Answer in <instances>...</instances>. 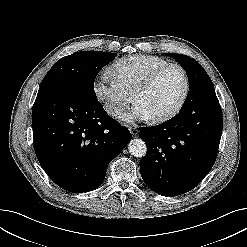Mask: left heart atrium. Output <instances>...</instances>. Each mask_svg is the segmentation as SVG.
<instances>
[{
  "instance_id": "1",
  "label": "left heart atrium",
  "mask_w": 247,
  "mask_h": 247,
  "mask_svg": "<svg viewBox=\"0 0 247 247\" xmlns=\"http://www.w3.org/2000/svg\"><path fill=\"white\" fill-rule=\"evenodd\" d=\"M152 118V115L139 103H136L131 112H127L121 115V119L128 123L150 120Z\"/></svg>"
}]
</instances>
